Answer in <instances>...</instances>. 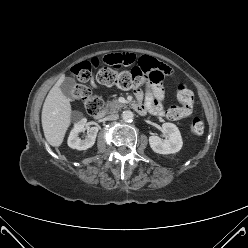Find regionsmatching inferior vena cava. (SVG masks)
<instances>
[{"mask_svg":"<svg viewBox=\"0 0 248 248\" xmlns=\"http://www.w3.org/2000/svg\"><path fill=\"white\" fill-rule=\"evenodd\" d=\"M119 118L118 114H112L105 117L106 120H117Z\"/></svg>","mask_w":248,"mask_h":248,"instance_id":"obj_1","label":"inferior vena cava"}]
</instances>
